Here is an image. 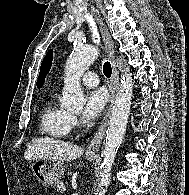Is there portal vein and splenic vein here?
Returning <instances> with one entry per match:
<instances>
[{
	"label": "portal vein and splenic vein",
	"instance_id": "obj_1",
	"mask_svg": "<svg viewBox=\"0 0 189 195\" xmlns=\"http://www.w3.org/2000/svg\"><path fill=\"white\" fill-rule=\"evenodd\" d=\"M72 195H78V193H73Z\"/></svg>",
	"mask_w": 189,
	"mask_h": 195
}]
</instances>
